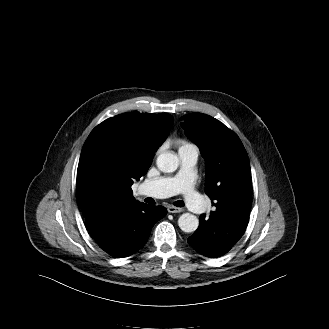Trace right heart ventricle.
Here are the masks:
<instances>
[{
    "instance_id": "right-heart-ventricle-1",
    "label": "right heart ventricle",
    "mask_w": 329,
    "mask_h": 329,
    "mask_svg": "<svg viewBox=\"0 0 329 329\" xmlns=\"http://www.w3.org/2000/svg\"><path fill=\"white\" fill-rule=\"evenodd\" d=\"M189 144H187V143H182L181 145H180V148H179V150L180 149H183V148H185V147H187Z\"/></svg>"
}]
</instances>
